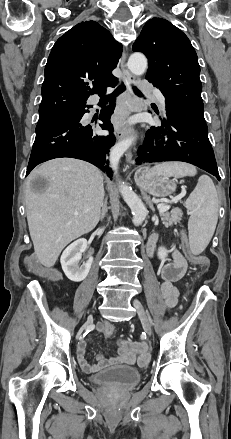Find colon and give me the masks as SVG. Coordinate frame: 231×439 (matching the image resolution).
Returning <instances> with one entry per match:
<instances>
[{
    "label": "colon",
    "mask_w": 231,
    "mask_h": 439,
    "mask_svg": "<svg viewBox=\"0 0 231 439\" xmlns=\"http://www.w3.org/2000/svg\"><path fill=\"white\" fill-rule=\"evenodd\" d=\"M181 243L183 250L190 261L200 266L202 269H206L208 267L209 261L208 258L203 255H194L191 253L186 237L184 234L181 236ZM27 265L29 269L37 274H49L51 276H55L54 272L47 273L42 266H40L34 258H30L27 261Z\"/></svg>",
    "instance_id": "5ec220e1"
}]
</instances>
